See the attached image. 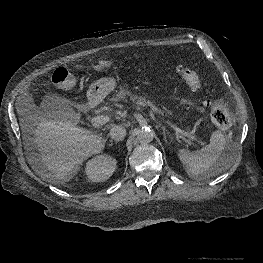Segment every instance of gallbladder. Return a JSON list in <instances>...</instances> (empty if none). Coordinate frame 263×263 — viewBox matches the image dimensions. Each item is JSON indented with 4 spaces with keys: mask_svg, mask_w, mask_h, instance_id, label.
Masks as SVG:
<instances>
[{
    "mask_svg": "<svg viewBox=\"0 0 263 263\" xmlns=\"http://www.w3.org/2000/svg\"><path fill=\"white\" fill-rule=\"evenodd\" d=\"M41 110L48 118L57 122L70 121L75 118L70 101L56 94H48L43 97Z\"/></svg>",
    "mask_w": 263,
    "mask_h": 263,
    "instance_id": "gallbladder-1",
    "label": "gallbladder"
}]
</instances>
